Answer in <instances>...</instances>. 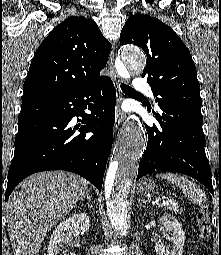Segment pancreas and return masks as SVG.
I'll use <instances>...</instances> for the list:
<instances>
[{
    "label": "pancreas",
    "mask_w": 221,
    "mask_h": 255,
    "mask_svg": "<svg viewBox=\"0 0 221 255\" xmlns=\"http://www.w3.org/2000/svg\"><path fill=\"white\" fill-rule=\"evenodd\" d=\"M164 208L167 210H171L175 213H182L183 209L179 208L178 204H173L171 202H167L166 204H164Z\"/></svg>",
    "instance_id": "1"
}]
</instances>
